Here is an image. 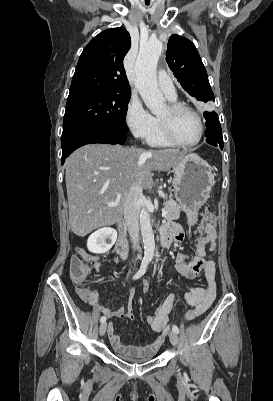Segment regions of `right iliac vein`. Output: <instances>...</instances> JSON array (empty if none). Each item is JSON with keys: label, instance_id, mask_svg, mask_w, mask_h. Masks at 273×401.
<instances>
[{"label": "right iliac vein", "instance_id": "1", "mask_svg": "<svg viewBox=\"0 0 273 401\" xmlns=\"http://www.w3.org/2000/svg\"><path fill=\"white\" fill-rule=\"evenodd\" d=\"M106 328H107V323L106 322L101 323V325L99 327V333L101 336H103L105 334Z\"/></svg>", "mask_w": 273, "mask_h": 401}]
</instances>
